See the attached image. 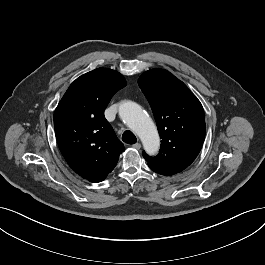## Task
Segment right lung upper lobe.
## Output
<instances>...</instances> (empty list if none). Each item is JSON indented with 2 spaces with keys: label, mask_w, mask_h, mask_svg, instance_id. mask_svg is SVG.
I'll list each match as a JSON object with an SVG mask.
<instances>
[{
  "label": "right lung upper lobe",
  "mask_w": 265,
  "mask_h": 265,
  "mask_svg": "<svg viewBox=\"0 0 265 265\" xmlns=\"http://www.w3.org/2000/svg\"><path fill=\"white\" fill-rule=\"evenodd\" d=\"M126 86L117 71L98 68L77 78L54 113L55 135L69 166L90 182H101L125 150L104 117L112 96Z\"/></svg>",
  "instance_id": "cb5924a9"
}]
</instances>
